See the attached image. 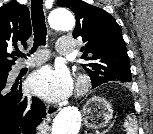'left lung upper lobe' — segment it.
I'll return each mask as SVG.
<instances>
[{"instance_id": "obj_1", "label": "left lung upper lobe", "mask_w": 153, "mask_h": 134, "mask_svg": "<svg viewBox=\"0 0 153 134\" xmlns=\"http://www.w3.org/2000/svg\"><path fill=\"white\" fill-rule=\"evenodd\" d=\"M57 5L75 13L73 37H82V64L91 77L93 87L110 81H131L130 62L122 32L106 11L82 0H58Z\"/></svg>"}]
</instances>
